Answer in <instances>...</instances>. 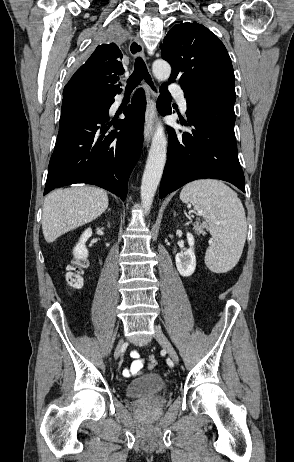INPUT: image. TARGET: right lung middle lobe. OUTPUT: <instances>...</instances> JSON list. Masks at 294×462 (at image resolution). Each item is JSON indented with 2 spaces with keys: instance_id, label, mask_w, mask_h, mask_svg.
Segmentation results:
<instances>
[{
  "instance_id": "1",
  "label": "right lung middle lobe",
  "mask_w": 294,
  "mask_h": 462,
  "mask_svg": "<svg viewBox=\"0 0 294 462\" xmlns=\"http://www.w3.org/2000/svg\"><path fill=\"white\" fill-rule=\"evenodd\" d=\"M121 37L118 29L110 28L101 35L98 42H109ZM111 97L98 96L95 94H76L69 98L63 99L61 115L72 111H85L98 107L110 100Z\"/></svg>"
}]
</instances>
